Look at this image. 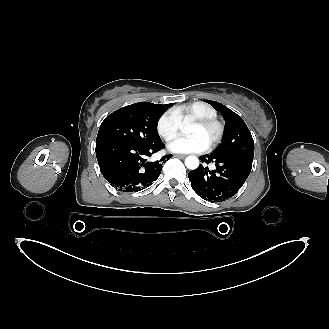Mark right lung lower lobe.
Listing matches in <instances>:
<instances>
[{"mask_svg":"<svg viewBox=\"0 0 329 329\" xmlns=\"http://www.w3.org/2000/svg\"><path fill=\"white\" fill-rule=\"evenodd\" d=\"M164 147L160 140L149 145H139L115 140L96 142V157L104 178L121 192H136L149 187L162 170V161L172 155H165L159 161L149 162L155 152Z\"/></svg>","mask_w":329,"mask_h":329,"instance_id":"right-lung-lower-lobe-1","label":"right lung lower lobe"}]
</instances>
